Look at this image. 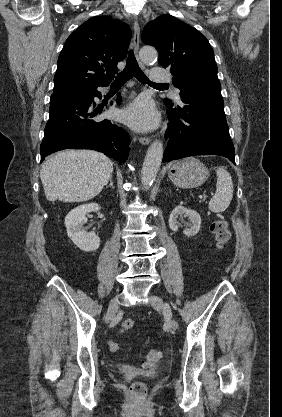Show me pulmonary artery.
<instances>
[{"label":"pulmonary artery","instance_id":"e3ab8cb5","mask_svg":"<svg viewBox=\"0 0 282 417\" xmlns=\"http://www.w3.org/2000/svg\"><path fill=\"white\" fill-rule=\"evenodd\" d=\"M151 72L149 76L150 83H170L171 75L163 74L164 67L163 65H152Z\"/></svg>","mask_w":282,"mask_h":417}]
</instances>
